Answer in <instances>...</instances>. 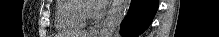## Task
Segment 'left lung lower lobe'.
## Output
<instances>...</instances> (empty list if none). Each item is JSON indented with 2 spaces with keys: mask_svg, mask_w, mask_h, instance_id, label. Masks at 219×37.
<instances>
[{
  "mask_svg": "<svg viewBox=\"0 0 219 37\" xmlns=\"http://www.w3.org/2000/svg\"><path fill=\"white\" fill-rule=\"evenodd\" d=\"M159 0H132L130 10L121 24L123 37H137L152 22Z\"/></svg>",
  "mask_w": 219,
  "mask_h": 37,
  "instance_id": "left-lung-lower-lobe-1",
  "label": "left lung lower lobe"
}]
</instances>
